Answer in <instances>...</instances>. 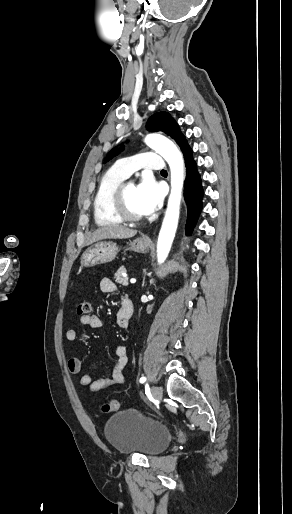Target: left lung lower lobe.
<instances>
[{"instance_id": "1", "label": "left lung lower lobe", "mask_w": 292, "mask_h": 514, "mask_svg": "<svg viewBox=\"0 0 292 514\" xmlns=\"http://www.w3.org/2000/svg\"><path fill=\"white\" fill-rule=\"evenodd\" d=\"M192 153L189 145L183 150L186 165V181L184 185V197L187 204L186 235L191 234L198 220L203 208L202 200L204 195L202 179Z\"/></svg>"}]
</instances>
